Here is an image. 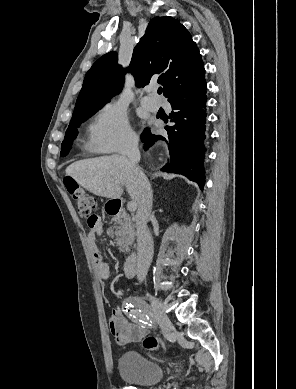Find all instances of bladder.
I'll return each instance as SVG.
<instances>
[{
	"mask_svg": "<svg viewBox=\"0 0 296 389\" xmlns=\"http://www.w3.org/2000/svg\"><path fill=\"white\" fill-rule=\"evenodd\" d=\"M121 378L131 385L151 386L164 376L162 367L136 351L124 352L118 361Z\"/></svg>",
	"mask_w": 296,
	"mask_h": 389,
	"instance_id": "1",
	"label": "bladder"
}]
</instances>
